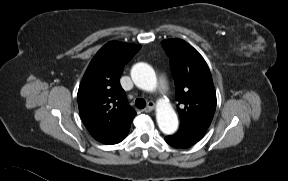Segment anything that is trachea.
Segmentation results:
<instances>
[{"mask_svg":"<svg viewBox=\"0 0 288 181\" xmlns=\"http://www.w3.org/2000/svg\"><path fill=\"white\" fill-rule=\"evenodd\" d=\"M135 105L138 109H143L146 106V101L142 98H138L135 101Z\"/></svg>","mask_w":288,"mask_h":181,"instance_id":"1","label":"trachea"}]
</instances>
